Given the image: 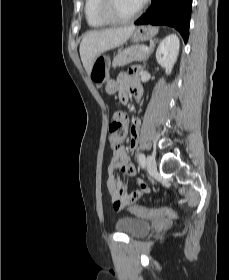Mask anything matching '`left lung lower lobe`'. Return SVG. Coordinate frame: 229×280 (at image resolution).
<instances>
[{"instance_id":"1","label":"left lung lower lobe","mask_w":229,"mask_h":280,"mask_svg":"<svg viewBox=\"0 0 229 280\" xmlns=\"http://www.w3.org/2000/svg\"><path fill=\"white\" fill-rule=\"evenodd\" d=\"M192 0H152L150 8L136 25L152 24L174 27L188 40Z\"/></svg>"}]
</instances>
